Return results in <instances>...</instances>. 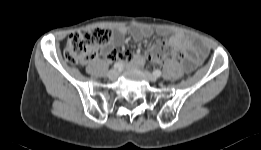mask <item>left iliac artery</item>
Segmentation results:
<instances>
[{"mask_svg": "<svg viewBox=\"0 0 261 150\" xmlns=\"http://www.w3.org/2000/svg\"><path fill=\"white\" fill-rule=\"evenodd\" d=\"M153 74H154L156 77H160L161 74H162V72H161L160 70H155V71L153 72Z\"/></svg>", "mask_w": 261, "mask_h": 150, "instance_id": "44dca946", "label": "left iliac artery"}]
</instances>
